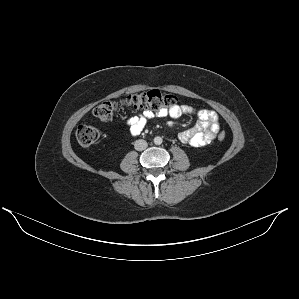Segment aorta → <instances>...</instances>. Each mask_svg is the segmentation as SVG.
<instances>
[{
	"mask_svg": "<svg viewBox=\"0 0 299 299\" xmlns=\"http://www.w3.org/2000/svg\"><path fill=\"white\" fill-rule=\"evenodd\" d=\"M162 138L160 137V136H156L155 138H154V143H155V145H160L161 143H162Z\"/></svg>",
	"mask_w": 299,
	"mask_h": 299,
	"instance_id": "aorta-1",
	"label": "aorta"
}]
</instances>
